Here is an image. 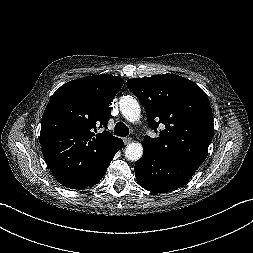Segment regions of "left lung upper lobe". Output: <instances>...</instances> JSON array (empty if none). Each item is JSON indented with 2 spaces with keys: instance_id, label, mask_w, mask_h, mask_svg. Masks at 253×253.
<instances>
[{
  "instance_id": "obj_1",
  "label": "left lung upper lobe",
  "mask_w": 253,
  "mask_h": 253,
  "mask_svg": "<svg viewBox=\"0 0 253 253\" xmlns=\"http://www.w3.org/2000/svg\"><path fill=\"white\" fill-rule=\"evenodd\" d=\"M129 90L143 104L149 126L157 138L145 136L142 144L168 164L196 161L202 164L214 134L212 109L205 92L194 82L175 74L129 79Z\"/></svg>"
}]
</instances>
